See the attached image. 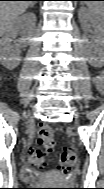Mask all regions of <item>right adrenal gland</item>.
<instances>
[{"instance_id":"1","label":"right adrenal gland","mask_w":104,"mask_h":189,"mask_svg":"<svg viewBox=\"0 0 104 189\" xmlns=\"http://www.w3.org/2000/svg\"><path fill=\"white\" fill-rule=\"evenodd\" d=\"M34 6V3L30 5V7H33Z\"/></svg>"}]
</instances>
